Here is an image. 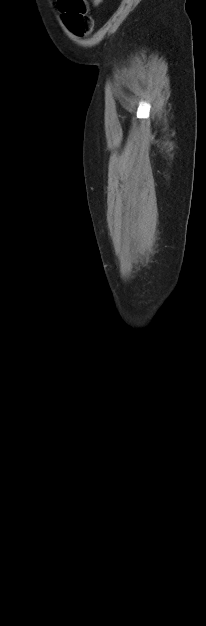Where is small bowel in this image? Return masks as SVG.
<instances>
[{
	"instance_id": "1",
	"label": "small bowel",
	"mask_w": 206,
	"mask_h": 626,
	"mask_svg": "<svg viewBox=\"0 0 206 626\" xmlns=\"http://www.w3.org/2000/svg\"><path fill=\"white\" fill-rule=\"evenodd\" d=\"M94 4H98L101 2V0H92Z\"/></svg>"
}]
</instances>
